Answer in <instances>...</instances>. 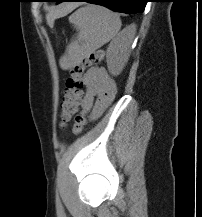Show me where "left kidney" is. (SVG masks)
<instances>
[{
    "label": "left kidney",
    "instance_id": "left-kidney-1",
    "mask_svg": "<svg viewBox=\"0 0 202 217\" xmlns=\"http://www.w3.org/2000/svg\"><path fill=\"white\" fill-rule=\"evenodd\" d=\"M131 40L122 34L114 39L106 51L108 71L113 76H118L124 69L130 53Z\"/></svg>",
    "mask_w": 202,
    "mask_h": 217
}]
</instances>
